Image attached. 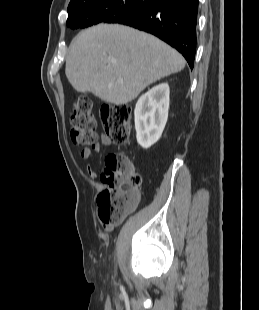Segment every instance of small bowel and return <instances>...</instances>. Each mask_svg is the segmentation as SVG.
I'll return each mask as SVG.
<instances>
[{
  "label": "small bowel",
  "instance_id": "1",
  "mask_svg": "<svg viewBox=\"0 0 259 310\" xmlns=\"http://www.w3.org/2000/svg\"><path fill=\"white\" fill-rule=\"evenodd\" d=\"M111 143L112 142L108 137L101 136L99 139V143H97L95 146L86 147L82 149L80 152V156L83 160H89L94 152H98L102 146H110ZM86 171L90 178L95 179L97 177V172L93 166L88 164L86 167ZM103 228L105 231H110L112 229V225L109 226L104 225Z\"/></svg>",
  "mask_w": 259,
  "mask_h": 310
}]
</instances>
